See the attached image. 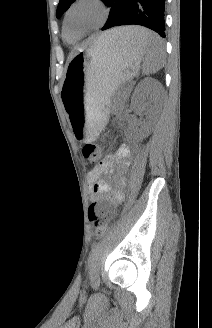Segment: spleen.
<instances>
[{
	"instance_id": "1",
	"label": "spleen",
	"mask_w": 212,
	"mask_h": 328,
	"mask_svg": "<svg viewBox=\"0 0 212 328\" xmlns=\"http://www.w3.org/2000/svg\"><path fill=\"white\" fill-rule=\"evenodd\" d=\"M130 42L144 50L143 73H156L164 64V50L161 39L153 32L143 27H133Z\"/></svg>"
}]
</instances>
